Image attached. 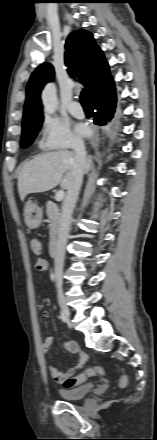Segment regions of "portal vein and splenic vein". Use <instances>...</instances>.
Returning <instances> with one entry per match:
<instances>
[{
    "label": "portal vein and splenic vein",
    "instance_id": "portal-vein-and-splenic-vein-1",
    "mask_svg": "<svg viewBox=\"0 0 157 440\" xmlns=\"http://www.w3.org/2000/svg\"><path fill=\"white\" fill-rule=\"evenodd\" d=\"M64 196H65V192L63 190H59L55 195V199L56 201L60 202L64 199Z\"/></svg>",
    "mask_w": 157,
    "mask_h": 440
}]
</instances>
